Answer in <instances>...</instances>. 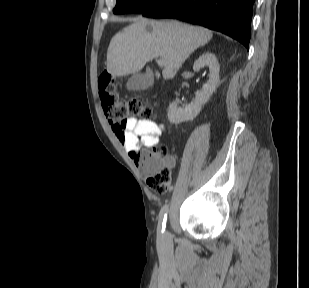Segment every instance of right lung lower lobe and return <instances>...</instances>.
Returning a JSON list of instances; mask_svg holds the SVG:
<instances>
[{
    "instance_id": "right-lung-lower-lobe-1",
    "label": "right lung lower lobe",
    "mask_w": 309,
    "mask_h": 288,
    "mask_svg": "<svg viewBox=\"0 0 309 288\" xmlns=\"http://www.w3.org/2000/svg\"><path fill=\"white\" fill-rule=\"evenodd\" d=\"M255 0H163L142 13L152 18H176L220 31L249 49Z\"/></svg>"
}]
</instances>
